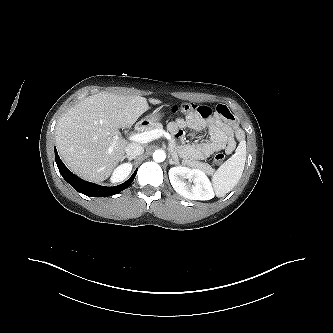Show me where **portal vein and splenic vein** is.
I'll list each match as a JSON object with an SVG mask.
<instances>
[{
    "label": "portal vein and splenic vein",
    "instance_id": "18ae733b",
    "mask_svg": "<svg viewBox=\"0 0 333 333\" xmlns=\"http://www.w3.org/2000/svg\"><path fill=\"white\" fill-rule=\"evenodd\" d=\"M161 136H165L168 140L171 139L170 134L165 132L164 130L154 129L151 131L133 134L128 137V140L138 142V143H148L150 141L160 138ZM115 139L117 140L118 136H116ZM114 146H115V143H113L111 148H113Z\"/></svg>",
    "mask_w": 333,
    "mask_h": 333
}]
</instances>
